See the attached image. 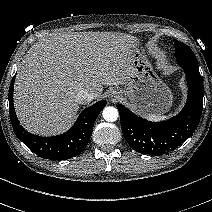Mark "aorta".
I'll return each instance as SVG.
<instances>
[{
	"label": "aorta",
	"instance_id": "obj_1",
	"mask_svg": "<svg viewBox=\"0 0 212 212\" xmlns=\"http://www.w3.org/2000/svg\"><path fill=\"white\" fill-rule=\"evenodd\" d=\"M102 116L107 122H114L119 117L118 110L113 106H107L103 109Z\"/></svg>",
	"mask_w": 212,
	"mask_h": 212
}]
</instances>
